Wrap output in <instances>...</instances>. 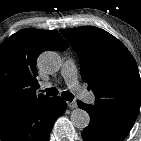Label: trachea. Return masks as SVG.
Returning <instances> with one entry per match:
<instances>
[{
    "label": "trachea",
    "mask_w": 141,
    "mask_h": 141,
    "mask_svg": "<svg viewBox=\"0 0 141 141\" xmlns=\"http://www.w3.org/2000/svg\"><path fill=\"white\" fill-rule=\"evenodd\" d=\"M42 92H45L47 96L58 95V90L56 88H47L46 90H42ZM62 97L67 101H72L74 99V95L69 91L62 92Z\"/></svg>",
    "instance_id": "1"
}]
</instances>
